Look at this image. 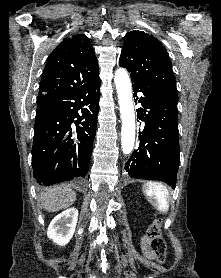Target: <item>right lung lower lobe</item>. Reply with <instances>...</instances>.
<instances>
[{"instance_id": "1", "label": "right lung lower lobe", "mask_w": 221, "mask_h": 278, "mask_svg": "<svg viewBox=\"0 0 221 278\" xmlns=\"http://www.w3.org/2000/svg\"><path fill=\"white\" fill-rule=\"evenodd\" d=\"M99 97L100 79L37 99V109L43 111L35 118L32 166L40 185L49 186L87 174L96 134ZM73 123L76 131L71 128Z\"/></svg>"}]
</instances>
